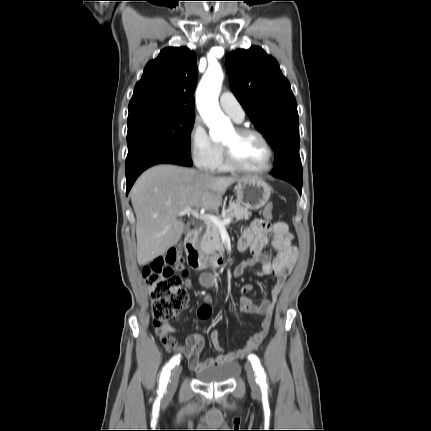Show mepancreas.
Instances as JSON below:
<instances>
[{"mask_svg": "<svg viewBox=\"0 0 431 431\" xmlns=\"http://www.w3.org/2000/svg\"><path fill=\"white\" fill-rule=\"evenodd\" d=\"M251 212L238 203L230 202L228 209H224L222 215L217 216L220 219L235 218L237 221L248 220ZM204 233L202 236L201 247L205 253H214L223 248L220 240V230L215 224L204 221Z\"/></svg>", "mask_w": 431, "mask_h": 431, "instance_id": "pancreas-1", "label": "pancreas"}]
</instances>
